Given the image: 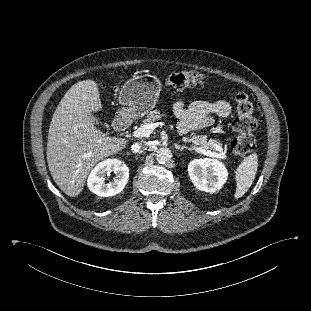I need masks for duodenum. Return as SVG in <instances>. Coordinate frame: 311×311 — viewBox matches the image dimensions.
Masks as SVG:
<instances>
[{
	"label": "duodenum",
	"mask_w": 311,
	"mask_h": 311,
	"mask_svg": "<svg viewBox=\"0 0 311 311\" xmlns=\"http://www.w3.org/2000/svg\"><path fill=\"white\" fill-rule=\"evenodd\" d=\"M117 130H124L130 125L129 117L124 115H119L116 117L113 123Z\"/></svg>",
	"instance_id": "duodenum-1"
}]
</instances>
